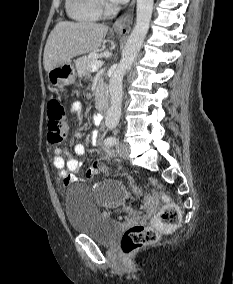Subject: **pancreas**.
Returning a JSON list of instances; mask_svg holds the SVG:
<instances>
[{
    "instance_id": "obj_1",
    "label": "pancreas",
    "mask_w": 233,
    "mask_h": 284,
    "mask_svg": "<svg viewBox=\"0 0 233 284\" xmlns=\"http://www.w3.org/2000/svg\"><path fill=\"white\" fill-rule=\"evenodd\" d=\"M93 60H97L96 57H94L93 55L83 56L76 60L75 65L79 77L85 76L88 74L89 71H91L90 62ZM98 88L104 90L105 87L103 79L99 81ZM97 95L100 96V93H98ZM98 99L101 98L98 97Z\"/></svg>"
}]
</instances>
